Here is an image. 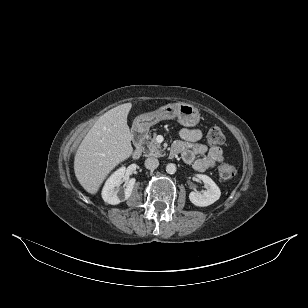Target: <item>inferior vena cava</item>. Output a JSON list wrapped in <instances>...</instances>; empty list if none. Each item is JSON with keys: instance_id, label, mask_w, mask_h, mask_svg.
I'll return each instance as SVG.
<instances>
[{"instance_id": "inferior-vena-cava-1", "label": "inferior vena cava", "mask_w": 308, "mask_h": 308, "mask_svg": "<svg viewBox=\"0 0 308 308\" xmlns=\"http://www.w3.org/2000/svg\"><path fill=\"white\" fill-rule=\"evenodd\" d=\"M159 166V161L155 157H148L145 160V167L149 170H154Z\"/></svg>"}]
</instances>
